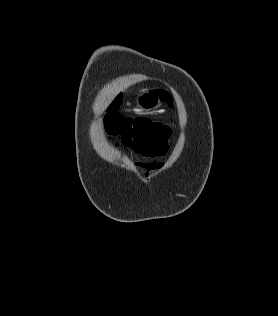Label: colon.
Segmentation results:
<instances>
[{
	"instance_id": "obj_1",
	"label": "colon",
	"mask_w": 278,
	"mask_h": 316,
	"mask_svg": "<svg viewBox=\"0 0 278 316\" xmlns=\"http://www.w3.org/2000/svg\"><path fill=\"white\" fill-rule=\"evenodd\" d=\"M109 134L136 153L157 157L166 154L171 136L169 127L145 118H130L118 112L109 113L105 120Z\"/></svg>"
}]
</instances>
